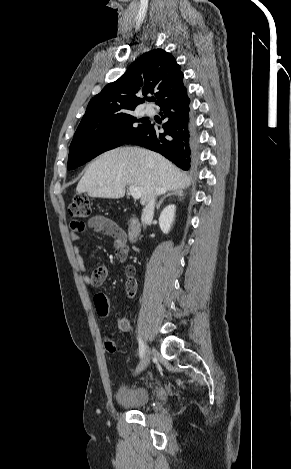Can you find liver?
<instances>
[{
  "instance_id": "6515ba94",
  "label": "liver",
  "mask_w": 291,
  "mask_h": 469,
  "mask_svg": "<svg viewBox=\"0 0 291 469\" xmlns=\"http://www.w3.org/2000/svg\"><path fill=\"white\" fill-rule=\"evenodd\" d=\"M190 178L158 153L138 147H121L100 155L86 170L76 191L90 197L118 199L125 187L142 188L140 203L147 204L155 189L160 193L185 189Z\"/></svg>"
}]
</instances>
